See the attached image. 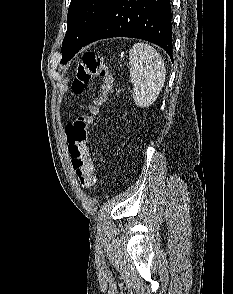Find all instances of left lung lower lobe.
I'll return each mask as SVG.
<instances>
[{
    "label": "left lung lower lobe",
    "mask_w": 233,
    "mask_h": 294,
    "mask_svg": "<svg viewBox=\"0 0 233 294\" xmlns=\"http://www.w3.org/2000/svg\"><path fill=\"white\" fill-rule=\"evenodd\" d=\"M110 37H132L162 47L172 58L169 0H110L83 43Z\"/></svg>",
    "instance_id": "0a47b994"
}]
</instances>
